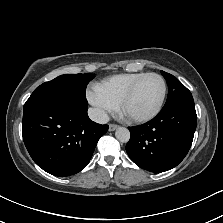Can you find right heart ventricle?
Masks as SVG:
<instances>
[{
  "instance_id": "e07e8e85",
  "label": "right heart ventricle",
  "mask_w": 223,
  "mask_h": 223,
  "mask_svg": "<svg viewBox=\"0 0 223 223\" xmlns=\"http://www.w3.org/2000/svg\"><path fill=\"white\" fill-rule=\"evenodd\" d=\"M145 74V72L120 73L95 85L99 86L112 101L118 104L129 88Z\"/></svg>"
}]
</instances>
